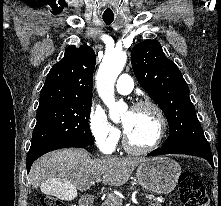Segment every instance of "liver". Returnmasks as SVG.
<instances>
[{"label":"liver","mask_w":221,"mask_h":206,"mask_svg":"<svg viewBox=\"0 0 221 206\" xmlns=\"http://www.w3.org/2000/svg\"><path fill=\"white\" fill-rule=\"evenodd\" d=\"M146 159L101 157L92 159L84 149H64L50 152L39 158L32 166L30 182L33 189L51 194L50 183H63L68 189V198L77 194V189L87 190L94 182L121 186L125 184L137 165Z\"/></svg>","instance_id":"1"}]
</instances>
